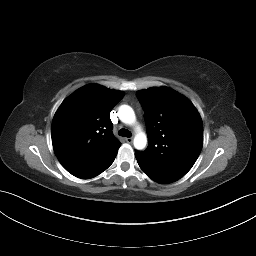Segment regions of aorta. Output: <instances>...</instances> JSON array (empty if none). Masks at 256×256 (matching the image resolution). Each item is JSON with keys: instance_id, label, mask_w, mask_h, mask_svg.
Segmentation results:
<instances>
[{"instance_id": "762f6f07", "label": "aorta", "mask_w": 256, "mask_h": 256, "mask_svg": "<svg viewBox=\"0 0 256 256\" xmlns=\"http://www.w3.org/2000/svg\"><path fill=\"white\" fill-rule=\"evenodd\" d=\"M118 116L120 120L127 125H134L136 123V116L133 109L128 105H122L119 107ZM147 136L139 128H137V134L134 137V147L138 150H142L146 147Z\"/></svg>"}]
</instances>
